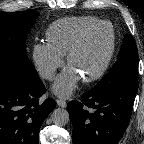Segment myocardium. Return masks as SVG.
Returning <instances> with one entry per match:
<instances>
[{"mask_svg":"<svg viewBox=\"0 0 144 144\" xmlns=\"http://www.w3.org/2000/svg\"><path fill=\"white\" fill-rule=\"evenodd\" d=\"M104 25L110 26V30H111V41H110L109 50L106 54L104 61L101 64V66L95 72L90 74L89 76L82 77V81L85 83H91V82H94V81L98 80L99 78H101L105 74V72L107 71V69L110 65V62H111V60L114 56L115 50H116V34H115V30H114L112 23L109 21L101 20V21L97 22L96 24L83 30L73 41V43L69 47L67 54H66V61H67V64L70 66V63H71L75 53L83 45V43L86 41V39L89 37V35Z\"/></svg>","mask_w":144,"mask_h":144,"instance_id":"1","label":"myocardium"}]
</instances>
